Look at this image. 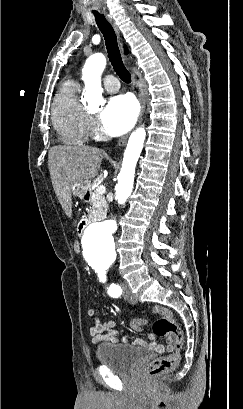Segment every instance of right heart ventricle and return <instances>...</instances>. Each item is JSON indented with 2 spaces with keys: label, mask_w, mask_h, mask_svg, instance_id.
<instances>
[{
  "label": "right heart ventricle",
  "mask_w": 243,
  "mask_h": 409,
  "mask_svg": "<svg viewBox=\"0 0 243 409\" xmlns=\"http://www.w3.org/2000/svg\"><path fill=\"white\" fill-rule=\"evenodd\" d=\"M79 85L69 80L63 84L52 106V122L64 143L81 145L89 138L88 115L78 99Z\"/></svg>",
  "instance_id": "1"
}]
</instances>
